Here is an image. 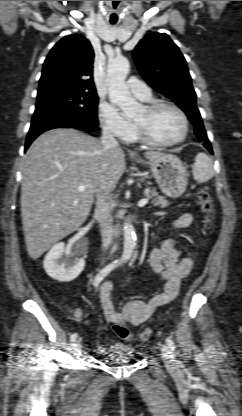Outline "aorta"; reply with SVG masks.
<instances>
[{"label": "aorta", "mask_w": 242, "mask_h": 416, "mask_svg": "<svg viewBox=\"0 0 242 416\" xmlns=\"http://www.w3.org/2000/svg\"><path fill=\"white\" fill-rule=\"evenodd\" d=\"M130 64L127 58L118 57L108 63L107 82L110 101L116 104L125 114L130 115L137 107L132 98L125 79L129 73ZM124 248L119 264L127 262L136 247V233L130 223L125 222L123 227Z\"/></svg>", "instance_id": "1"}]
</instances>
